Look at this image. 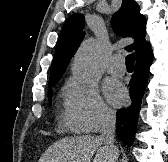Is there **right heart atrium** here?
Masks as SVG:
<instances>
[{
    "instance_id": "obj_1",
    "label": "right heart atrium",
    "mask_w": 168,
    "mask_h": 162,
    "mask_svg": "<svg viewBox=\"0 0 168 162\" xmlns=\"http://www.w3.org/2000/svg\"><path fill=\"white\" fill-rule=\"evenodd\" d=\"M64 123L77 132L94 133L112 123L115 112L101 97L97 86L70 78L65 87Z\"/></svg>"
}]
</instances>
